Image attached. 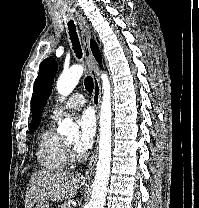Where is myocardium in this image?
I'll use <instances>...</instances> for the list:
<instances>
[{
    "label": "myocardium",
    "instance_id": "myocardium-1",
    "mask_svg": "<svg viewBox=\"0 0 199 208\" xmlns=\"http://www.w3.org/2000/svg\"><path fill=\"white\" fill-rule=\"evenodd\" d=\"M67 147H68L69 156H70L71 161H76L81 158L80 154L77 153V151L75 150L73 145L67 143Z\"/></svg>",
    "mask_w": 199,
    "mask_h": 208
}]
</instances>
